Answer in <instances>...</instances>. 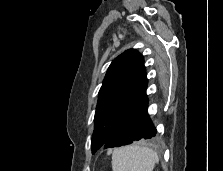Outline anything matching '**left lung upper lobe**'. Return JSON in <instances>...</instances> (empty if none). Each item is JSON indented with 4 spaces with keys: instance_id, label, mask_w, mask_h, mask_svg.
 <instances>
[{
    "instance_id": "obj_1",
    "label": "left lung upper lobe",
    "mask_w": 223,
    "mask_h": 171,
    "mask_svg": "<svg viewBox=\"0 0 223 171\" xmlns=\"http://www.w3.org/2000/svg\"><path fill=\"white\" fill-rule=\"evenodd\" d=\"M143 56L130 49L115 58L99 91L91 148L96 152L147 87Z\"/></svg>"
}]
</instances>
